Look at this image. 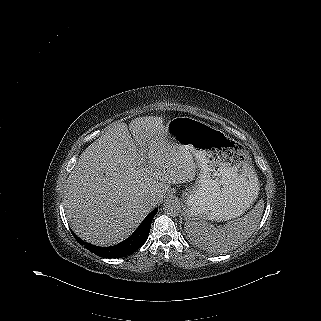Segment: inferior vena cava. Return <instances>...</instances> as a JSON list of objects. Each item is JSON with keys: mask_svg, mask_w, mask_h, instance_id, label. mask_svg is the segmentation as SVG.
<instances>
[{"mask_svg": "<svg viewBox=\"0 0 321 321\" xmlns=\"http://www.w3.org/2000/svg\"><path fill=\"white\" fill-rule=\"evenodd\" d=\"M154 201H155V198L150 197L147 202L149 204H154Z\"/></svg>", "mask_w": 321, "mask_h": 321, "instance_id": "1", "label": "inferior vena cava"}]
</instances>
